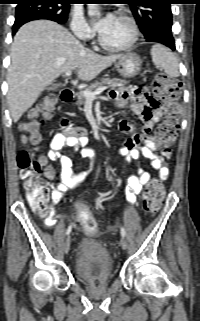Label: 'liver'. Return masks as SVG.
<instances>
[{"instance_id": "obj_1", "label": "liver", "mask_w": 200, "mask_h": 321, "mask_svg": "<svg viewBox=\"0 0 200 321\" xmlns=\"http://www.w3.org/2000/svg\"><path fill=\"white\" fill-rule=\"evenodd\" d=\"M121 56H101L86 49L53 21L23 25L14 37L7 73V99L13 121L17 122L62 73L76 69L81 80L90 81Z\"/></svg>"}]
</instances>
